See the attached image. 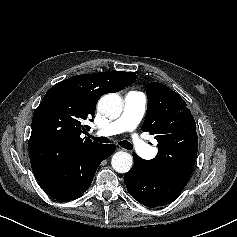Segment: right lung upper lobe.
<instances>
[{
  "label": "right lung upper lobe",
  "instance_id": "obj_1",
  "mask_svg": "<svg viewBox=\"0 0 237 237\" xmlns=\"http://www.w3.org/2000/svg\"><path fill=\"white\" fill-rule=\"evenodd\" d=\"M133 72H99L63 80L43 97L32 120L29 157L37 180L60 175L79 153L99 143L81 138L99 98L133 84Z\"/></svg>",
  "mask_w": 237,
  "mask_h": 237
}]
</instances>
